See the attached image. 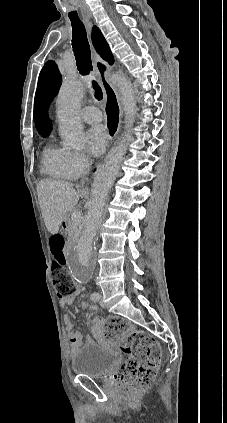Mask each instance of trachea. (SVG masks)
I'll use <instances>...</instances> for the list:
<instances>
[{"label":"trachea","mask_w":227,"mask_h":423,"mask_svg":"<svg viewBox=\"0 0 227 423\" xmlns=\"http://www.w3.org/2000/svg\"><path fill=\"white\" fill-rule=\"evenodd\" d=\"M70 20L72 25V47L76 59V65L81 75H88L92 70V62L86 30L79 18ZM92 87L95 98L97 100H102L103 92L96 81L92 82Z\"/></svg>","instance_id":"trachea-1"}]
</instances>
